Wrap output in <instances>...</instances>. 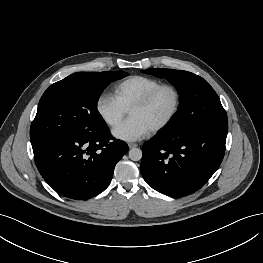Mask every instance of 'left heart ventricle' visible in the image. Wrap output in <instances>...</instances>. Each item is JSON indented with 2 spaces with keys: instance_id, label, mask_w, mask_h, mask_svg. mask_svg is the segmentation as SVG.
<instances>
[{
  "instance_id": "1",
  "label": "left heart ventricle",
  "mask_w": 263,
  "mask_h": 263,
  "mask_svg": "<svg viewBox=\"0 0 263 263\" xmlns=\"http://www.w3.org/2000/svg\"><path fill=\"white\" fill-rule=\"evenodd\" d=\"M174 100L173 92L169 89H163L148 106L131 110L129 116L140 119L152 129L169 115L174 106Z\"/></svg>"
}]
</instances>
